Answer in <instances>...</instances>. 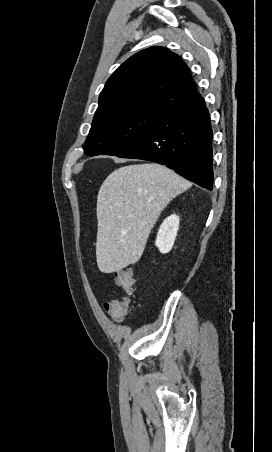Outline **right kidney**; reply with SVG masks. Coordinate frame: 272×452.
<instances>
[{"label": "right kidney", "mask_w": 272, "mask_h": 452, "mask_svg": "<svg viewBox=\"0 0 272 452\" xmlns=\"http://www.w3.org/2000/svg\"><path fill=\"white\" fill-rule=\"evenodd\" d=\"M179 221V216L172 214L167 217L161 224L157 233L155 245L158 247L159 251L162 254L171 251L177 236Z\"/></svg>", "instance_id": "right-kidney-1"}]
</instances>
